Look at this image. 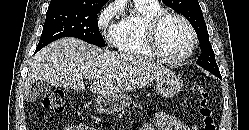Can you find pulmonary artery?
I'll list each match as a JSON object with an SVG mask.
<instances>
[{
	"label": "pulmonary artery",
	"mask_w": 249,
	"mask_h": 130,
	"mask_svg": "<svg viewBox=\"0 0 249 130\" xmlns=\"http://www.w3.org/2000/svg\"><path fill=\"white\" fill-rule=\"evenodd\" d=\"M149 1H157V0H149Z\"/></svg>",
	"instance_id": "1"
}]
</instances>
